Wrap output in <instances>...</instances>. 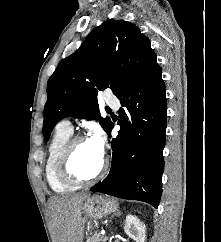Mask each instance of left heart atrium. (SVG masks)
Wrapping results in <instances>:
<instances>
[{
  "instance_id": "39dd6f15",
  "label": "left heart atrium",
  "mask_w": 221,
  "mask_h": 242,
  "mask_svg": "<svg viewBox=\"0 0 221 242\" xmlns=\"http://www.w3.org/2000/svg\"><path fill=\"white\" fill-rule=\"evenodd\" d=\"M88 141L99 154L103 155L105 140H104L103 133L99 128L94 129Z\"/></svg>"
}]
</instances>
